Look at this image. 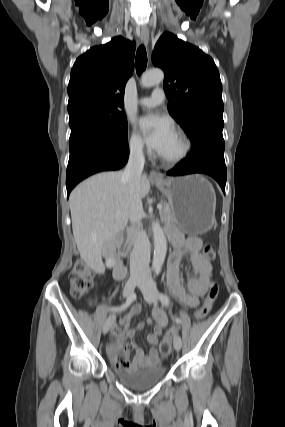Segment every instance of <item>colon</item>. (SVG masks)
Masks as SVG:
<instances>
[{
    "instance_id": "obj_1",
    "label": "colon",
    "mask_w": 285,
    "mask_h": 427,
    "mask_svg": "<svg viewBox=\"0 0 285 427\" xmlns=\"http://www.w3.org/2000/svg\"><path fill=\"white\" fill-rule=\"evenodd\" d=\"M204 256L208 260H214L216 258V250L212 245H206L204 247ZM95 274L94 272L81 260L75 262L74 267L70 273V289L71 294L75 298H81L87 294L93 287ZM219 294V287L217 283H213L208 292V296L204 301L203 305L196 311L195 318L200 320L203 319L211 310L213 303L217 299ZM175 335V330H171L163 338L160 343L159 351L161 356H167L172 350V339ZM127 349L123 346L117 356L116 360L118 363L125 361V354Z\"/></svg>"
}]
</instances>
